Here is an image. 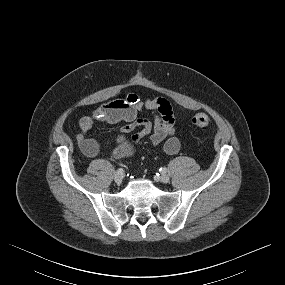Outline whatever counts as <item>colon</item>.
<instances>
[{"instance_id":"5ec220e1","label":"colon","mask_w":285,"mask_h":285,"mask_svg":"<svg viewBox=\"0 0 285 285\" xmlns=\"http://www.w3.org/2000/svg\"><path fill=\"white\" fill-rule=\"evenodd\" d=\"M191 123L200 130H206L209 126V118L205 113H196L192 116Z\"/></svg>"}]
</instances>
